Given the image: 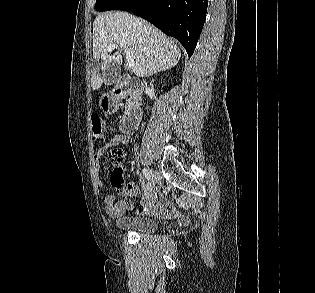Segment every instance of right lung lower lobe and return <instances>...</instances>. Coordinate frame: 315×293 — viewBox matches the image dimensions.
Returning a JSON list of instances; mask_svg holds the SVG:
<instances>
[{"instance_id":"right-lung-lower-lobe-1","label":"right lung lower lobe","mask_w":315,"mask_h":293,"mask_svg":"<svg viewBox=\"0 0 315 293\" xmlns=\"http://www.w3.org/2000/svg\"><path fill=\"white\" fill-rule=\"evenodd\" d=\"M208 0H122L112 9L132 12L175 37L190 57L206 18Z\"/></svg>"}]
</instances>
